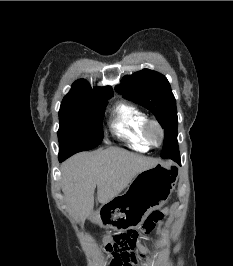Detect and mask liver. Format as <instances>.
I'll list each match as a JSON object with an SVG mask.
<instances>
[{
  "label": "liver",
  "mask_w": 233,
  "mask_h": 266,
  "mask_svg": "<svg viewBox=\"0 0 233 266\" xmlns=\"http://www.w3.org/2000/svg\"><path fill=\"white\" fill-rule=\"evenodd\" d=\"M158 163L157 159L118 147L74 155L61 165V187L70 214L84 222L93 213L96 186L99 203L106 204L138 173Z\"/></svg>",
  "instance_id": "6515ba94"
}]
</instances>
